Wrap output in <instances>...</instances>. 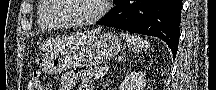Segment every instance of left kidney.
<instances>
[{"label":"left kidney","mask_w":216,"mask_h":90,"mask_svg":"<svg viewBox=\"0 0 216 90\" xmlns=\"http://www.w3.org/2000/svg\"><path fill=\"white\" fill-rule=\"evenodd\" d=\"M144 72H130L120 84L119 90H144L146 86Z\"/></svg>","instance_id":"left-kidney-1"}]
</instances>
